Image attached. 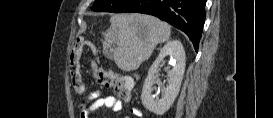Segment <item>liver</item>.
Listing matches in <instances>:
<instances>
[{
    "instance_id": "1",
    "label": "liver",
    "mask_w": 273,
    "mask_h": 118,
    "mask_svg": "<svg viewBox=\"0 0 273 118\" xmlns=\"http://www.w3.org/2000/svg\"><path fill=\"white\" fill-rule=\"evenodd\" d=\"M110 28L103 33L108 44H117L113 60L123 71L136 70L159 43L170 38L171 27L150 15L115 14Z\"/></svg>"
}]
</instances>
